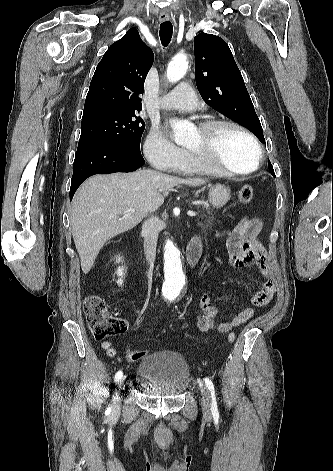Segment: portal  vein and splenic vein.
<instances>
[{"instance_id":"obj_1","label":"portal vein and splenic vein","mask_w":333,"mask_h":471,"mask_svg":"<svg viewBox=\"0 0 333 471\" xmlns=\"http://www.w3.org/2000/svg\"><path fill=\"white\" fill-rule=\"evenodd\" d=\"M134 211L135 210L133 208H131L128 211H126L124 214H125V216H130L132 213H134ZM187 215L190 216V217H195L197 215V213L194 212V211H188Z\"/></svg>"}]
</instances>
